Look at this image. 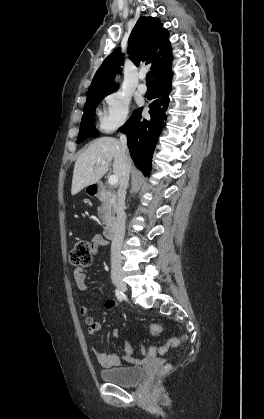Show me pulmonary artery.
<instances>
[{"mask_svg": "<svg viewBox=\"0 0 264 419\" xmlns=\"http://www.w3.org/2000/svg\"><path fill=\"white\" fill-rule=\"evenodd\" d=\"M139 78H140V83L138 84V86H137V88H138V90H139V92L140 93H146L147 92V86H146V84L143 82V80H144V78H145V74L144 73H141L140 75H139Z\"/></svg>", "mask_w": 264, "mask_h": 419, "instance_id": "e3ab8cb5", "label": "pulmonary artery"}]
</instances>
